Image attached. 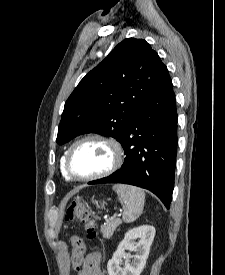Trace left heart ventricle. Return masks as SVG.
Here are the masks:
<instances>
[{
    "label": "left heart ventricle",
    "instance_id": "left-heart-ventricle-1",
    "mask_svg": "<svg viewBox=\"0 0 225 275\" xmlns=\"http://www.w3.org/2000/svg\"><path fill=\"white\" fill-rule=\"evenodd\" d=\"M112 161L110 148L99 141L78 145L72 153L70 165L77 175H92L107 169Z\"/></svg>",
    "mask_w": 225,
    "mask_h": 275
}]
</instances>
